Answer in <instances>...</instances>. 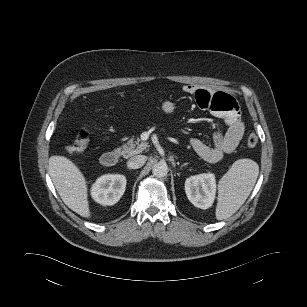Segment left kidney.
<instances>
[{
  "mask_svg": "<svg viewBox=\"0 0 307 307\" xmlns=\"http://www.w3.org/2000/svg\"><path fill=\"white\" fill-rule=\"evenodd\" d=\"M185 192L188 200L200 209L212 206L216 195V179L213 173H202L191 176L185 181Z\"/></svg>",
  "mask_w": 307,
  "mask_h": 307,
  "instance_id": "obj_1",
  "label": "left kidney"
}]
</instances>
